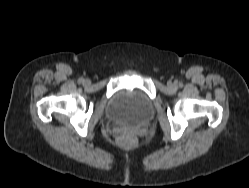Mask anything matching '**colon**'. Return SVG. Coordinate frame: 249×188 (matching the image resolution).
Segmentation results:
<instances>
[{
    "label": "colon",
    "instance_id": "obj_1",
    "mask_svg": "<svg viewBox=\"0 0 249 188\" xmlns=\"http://www.w3.org/2000/svg\"><path fill=\"white\" fill-rule=\"evenodd\" d=\"M136 135L131 131H123L119 137V144L122 147H131L136 143Z\"/></svg>",
    "mask_w": 249,
    "mask_h": 188
}]
</instances>
